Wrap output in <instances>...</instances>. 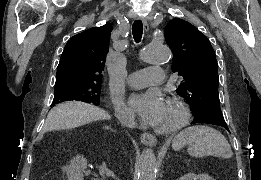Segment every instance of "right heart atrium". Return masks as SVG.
Wrapping results in <instances>:
<instances>
[{
  "label": "right heart atrium",
  "mask_w": 261,
  "mask_h": 180,
  "mask_svg": "<svg viewBox=\"0 0 261 180\" xmlns=\"http://www.w3.org/2000/svg\"><path fill=\"white\" fill-rule=\"evenodd\" d=\"M109 103L114 107L118 114L124 113V105L120 96L114 92L109 95Z\"/></svg>",
  "instance_id": "obj_1"
}]
</instances>
